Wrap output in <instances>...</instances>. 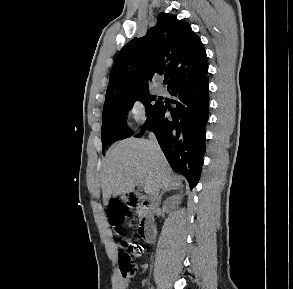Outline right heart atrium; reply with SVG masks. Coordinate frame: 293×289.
I'll use <instances>...</instances> for the list:
<instances>
[{"mask_svg":"<svg viewBox=\"0 0 293 289\" xmlns=\"http://www.w3.org/2000/svg\"><path fill=\"white\" fill-rule=\"evenodd\" d=\"M127 112L136 125L141 126L145 123L147 117L146 107L141 100H133L129 104Z\"/></svg>","mask_w":293,"mask_h":289,"instance_id":"d8ad5b80","label":"right heart atrium"}]
</instances>
